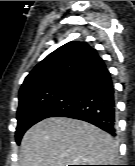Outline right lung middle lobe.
<instances>
[{"label": "right lung middle lobe", "mask_w": 135, "mask_h": 166, "mask_svg": "<svg viewBox=\"0 0 135 166\" xmlns=\"http://www.w3.org/2000/svg\"><path fill=\"white\" fill-rule=\"evenodd\" d=\"M73 97L71 86L62 87L53 93L19 105L17 110L18 125L16 142L20 143L23 134L35 123L52 117L56 112L65 109Z\"/></svg>", "instance_id": "1"}]
</instances>
